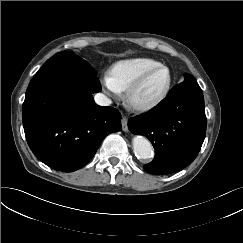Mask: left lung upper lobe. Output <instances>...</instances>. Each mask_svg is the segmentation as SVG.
<instances>
[{
    "label": "left lung upper lobe",
    "instance_id": "obj_1",
    "mask_svg": "<svg viewBox=\"0 0 243 243\" xmlns=\"http://www.w3.org/2000/svg\"><path fill=\"white\" fill-rule=\"evenodd\" d=\"M193 80H195V79L191 75H189V74L185 75V80L184 81H193Z\"/></svg>",
    "mask_w": 243,
    "mask_h": 243
}]
</instances>
